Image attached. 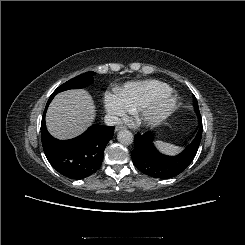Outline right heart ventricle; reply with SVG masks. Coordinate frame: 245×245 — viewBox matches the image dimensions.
Listing matches in <instances>:
<instances>
[{
  "mask_svg": "<svg viewBox=\"0 0 245 245\" xmlns=\"http://www.w3.org/2000/svg\"><path fill=\"white\" fill-rule=\"evenodd\" d=\"M172 92V88L159 80H144L125 84L117 91L129 111H136L139 107L152 102L157 97Z\"/></svg>",
  "mask_w": 245,
  "mask_h": 245,
  "instance_id": "e07e8e85",
  "label": "right heart ventricle"
}]
</instances>
